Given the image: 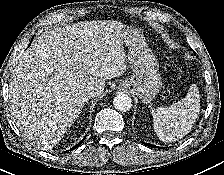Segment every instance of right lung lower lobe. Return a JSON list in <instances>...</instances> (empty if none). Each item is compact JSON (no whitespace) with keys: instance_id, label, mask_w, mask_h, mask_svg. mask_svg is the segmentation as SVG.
Here are the masks:
<instances>
[{"instance_id":"1","label":"right lung lower lobe","mask_w":224,"mask_h":175,"mask_svg":"<svg viewBox=\"0 0 224 175\" xmlns=\"http://www.w3.org/2000/svg\"><path fill=\"white\" fill-rule=\"evenodd\" d=\"M83 141H84V139L81 142H79L77 145H75L73 148H71L70 150H73V149L77 148L78 146H80Z\"/></svg>"}]
</instances>
